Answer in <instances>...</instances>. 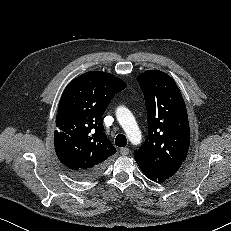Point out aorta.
I'll use <instances>...</instances> for the list:
<instances>
[{
	"label": "aorta",
	"mask_w": 231,
	"mask_h": 231,
	"mask_svg": "<svg viewBox=\"0 0 231 231\" xmlns=\"http://www.w3.org/2000/svg\"><path fill=\"white\" fill-rule=\"evenodd\" d=\"M116 117L131 143L140 144L141 131L131 111L121 106L116 110Z\"/></svg>",
	"instance_id": "762f6f07"
}]
</instances>
